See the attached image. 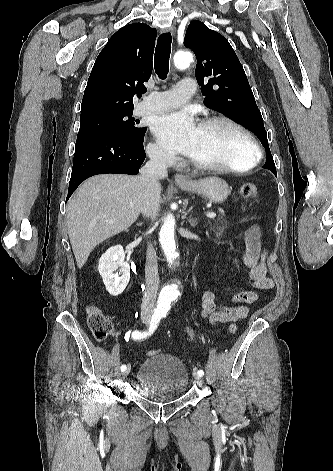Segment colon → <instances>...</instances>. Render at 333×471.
Returning <instances> with one entry per match:
<instances>
[{"mask_svg": "<svg viewBox=\"0 0 333 471\" xmlns=\"http://www.w3.org/2000/svg\"><path fill=\"white\" fill-rule=\"evenodd\" d=\"M241 196L245 199H254L258 196L257 186L253 183H245L240 189ZM88 313V326L93 336L99 340H105L111 336L114 332V325L111 320L106 317L99 308L96 306H90L87 309ZM228 331L230 334H235L237 331L236 324H230ZM158 350H151L147 354L155 355L159 354Z\"/></svg>", "mask_w": 333, "mask_h": 471, "instance_id": "colon-1", "label": "colon"}]
</instances>
